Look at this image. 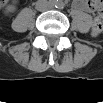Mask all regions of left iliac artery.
<instances>
[{"label": "left iliac artery", "instance_id": "44dca946", "mask_svg": "<svg viewBox=\"0 0 103 103\" xmlns=\"http://www.w3.org/2000/svg\"><path fill=\"white\" fill-rule=\"evenodd\" d=\"M56 7L58 9H63L65 7L64 3L62 1H57Z\"/></svg>", "mask_w": 103, "mask_h": 103}]
</instances>
